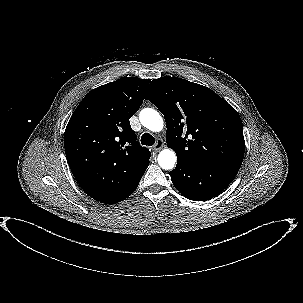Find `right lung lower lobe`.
Returning a JSON list of instances; mask_svg holds the SVG:
<instances>
[{
    "label": "right lung lower lobe",
    "mask_w": 303,
    "mask_h": 303,
    "mask_svg": "<svg viewBox=\"0 0 303 303\" xmlns=\"http://www.w3.org/2000/svg\"><path fill=\"white\" fill-rule=\"evenodd\" d=\"M145 172V171H144ZM143 172V174H144ZM141 174L135 182H133V184H131L129 187H127L124 191H122L121 193H119L118 195L106 200L105 202L103 203H106V204H114V203H118L120 201H123L124 199H126L128 196H130L134 190L137 188L139 182H140V179L142 177Z\"/></svg>",
    "instance_id": "1"
}]
</instances>
